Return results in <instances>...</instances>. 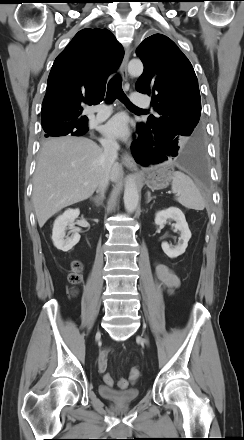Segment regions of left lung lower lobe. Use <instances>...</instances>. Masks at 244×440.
Returning <instances> with one entry per match:
<instances>
[{
	"mask_svg": "<svg viewBox=\"0 0 244 440\" xmlns=\"http://www.w3.org/2000/svg\"><path fill=\"white\" fill-rule=\"evenodd\" d=\"M132 154L143 166L176 161L182 168L199 178L206 175V158L203 137L195 138L186 145L170 140L156 126H137V139L132 143Z\"/></svg>",
	"mask_w": 244,
	"mask_h": 440,
	"instance_id": "left-lung-lower-lobe-1",
	"label": "left lung lower lobe"
}]
</instances>
